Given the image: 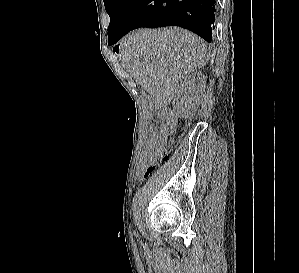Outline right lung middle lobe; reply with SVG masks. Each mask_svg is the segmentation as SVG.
I'll use <instances>...</instances> for the list:
<instances>
[{"mask_svg":"<svg viewBox=\"0 0 299 273\" xmlns=\"http://www.w3.org/2000/svg\"><path fill=\"white\" fill-rule=\"evenodd\" d=\"M134 0H104L105 8L110 16L108 27V44L110 45L122 25Z\"/></svg>","mask_w":299,"mask_h":273,"instance_id":"dd1d6c3e","label":"right lung middle lobe"}]
</instances>
